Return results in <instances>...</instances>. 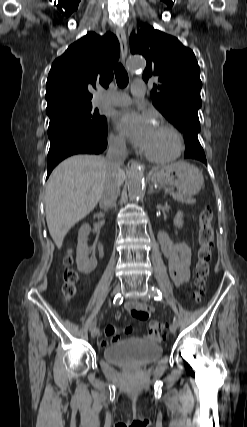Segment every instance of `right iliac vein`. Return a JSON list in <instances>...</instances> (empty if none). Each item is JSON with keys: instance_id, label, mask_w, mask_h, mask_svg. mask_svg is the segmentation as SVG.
Returning <instances> with one entry per match:
<instances>
[{"instance_id": "63e3f726", "label": "right iliac vein", "mask_w": 247, "mask_h": 427, "mask_svg": "<svg viewBox=\"0 0 247 427\" xmlns=\"http://www.w3.org/2000/svg\"><path fill=\"white\" fill-rule=\"evenodd\" d=\"M120 290H121L120 285H119V284H118V285H116V286H115V288L113 289V294H114V295L119 294V293H120ZM90 332H91V336L94 338V337H96V336H97V334H98V332H99V329H98V327L95 325L94 327H92V328L90 329Z\"/></svg>"}]
</instances>
